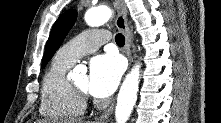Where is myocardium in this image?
<instances>
[{
	"instance_id": "1",
	"label": "myocardium",
	"mask_w": 221,
	"mask_h": 123,
	"mask_svg": "<svg viewBox=\"0 0 221 123\" xmlns=\"http://www.w3.org/2000/svg\"><path fill=\"white\" fill-rule=\"evenodd\" d=\"M71 89L74 91V93L82 99L84 102L91 99V94L88 91H84L77 87L73 82H69Z\"/></svg>"
}]
</instances>
